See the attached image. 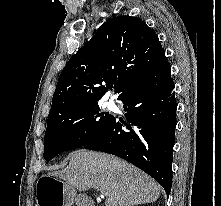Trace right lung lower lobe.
<instances>
[{
	"instance_id": "obj_1",
	"label": "right lung lower lobe",
	"mask_w": 221,
	"mask_h": 206,
	"mask_svg": "<svg viewBox=\"0 0 221 206\" xmlns=\"http://www.w3.org/2000/svg\"><path fill=\"white\" fill-rule=\"evenodd\" d=\"M173 89L167 62L119 99L127 122L113 117L83 147L129 161L153 177L169 195L177 109Z\"/></svg>"
}]
</instances>
